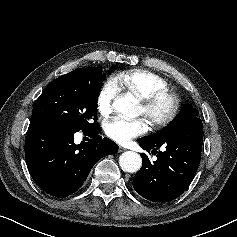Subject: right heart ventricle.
Returning a JSON list of instances; mask_svg holds the SVG:
<instances>
[{
  "label": "right heart ventricle",
  "instance_id": "obj_1",
  "mask_svg": "<svg viewBox=\"0 0 237 237\" xmlns=\"http://www.w3.org/2000/svg\"><path fill=\"white\" fill-rule=\"evenodd\" d=\"M113 81L118 88L126 90L139 99L169 89V85L163 77L147 70L121 72L115 76Z\"/></svg>",
  "mask_w": 237,
  "mask_h": 237
}]
</instances>
